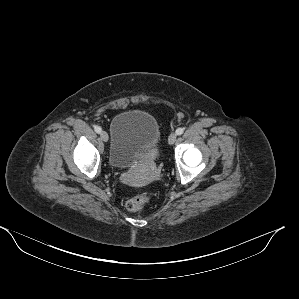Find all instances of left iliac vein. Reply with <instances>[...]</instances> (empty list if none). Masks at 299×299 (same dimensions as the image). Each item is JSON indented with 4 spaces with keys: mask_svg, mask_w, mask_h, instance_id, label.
<instances>
[{
    "mask_svg": "<svg viewBox=\"0 0 299 299\" xmlns=\"http://www.w3.org/2000/svg\"><path fill=\"white\" fill-rule=\"evenodd\" d=\"M176 138H177V135L175 133H172L168 138L169 144H174V142L176 141Z\"/></svg>",
    "mask_w": 299,
    "mask_h": 299,
    "instance_id": "4c4485c4",
    "label": "left iliac vein"
}]
</instances>
